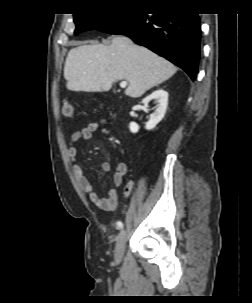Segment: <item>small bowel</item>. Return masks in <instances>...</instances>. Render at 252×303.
I'll use <instances>...</instances> for the list:
<instances>
[{
  "instance_id": "c3829d8e",
  "label": "small bowel",
  "mask_w": 252,
  "mask_h": 303,
  "mask_svg": "<svg viewBox=\"0 0 252 303\" xmlns=\"http://www.w3.org/2000/svg\"><path fill=\"white\" fill-rule=\"evenodd\" d=\"M104 127L102 122H90L86 127L75 131L71 136V142L68 147V157L71 162V171L80 187V189L87 193L92 204L104 211H113L118 204V192L116 189H111L108 192L107 198L100 197L93 189V185L89 178L85 175L81 165L77 161L78 149L77 143L88 141L92 138L93 133L101 130ZM101 168L104 172L110 170V163L104 161L101 164ZM127 172V166L125 163H120L115 169L113 175V183L116 187H120L123 184V177Z\"/></svg>"
}]
</instances>
